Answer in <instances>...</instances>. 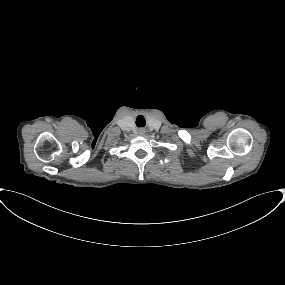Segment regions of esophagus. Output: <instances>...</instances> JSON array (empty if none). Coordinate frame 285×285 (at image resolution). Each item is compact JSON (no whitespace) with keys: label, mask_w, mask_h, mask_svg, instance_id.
I'll return each mask as SVG.
<instances>
[{"label":"esophagus","mask_w":285,"mask_h":285,"mask_svg":"<svg viewBox=\"0 0 285 285\" xmlns=\"http://www.w3.org/2000/svg\"><path fill=\"white\" fill-rule=\"evenodd\" d=\"M138 134H139L140 136H143V135L145 134V129H144V128L138 129Z\"/></svg>","instance_id":"1"}]
</instances>
